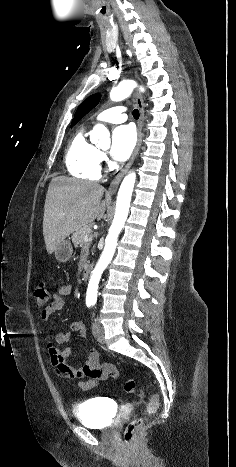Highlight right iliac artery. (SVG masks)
<instances>
[{"instance_id": "obj_1", "label": "right iliac artery", "mask_w": 236, "mask_h": 467, "mask_svg": "<svg viewBox=\"0 0 236 467\" xmlns=\"http://www.w3.org/2000/svg\"><path fill=\"white\" fill-rule=\"evenodd\" d=\"M92 304L91 303H87V307H90Z\"/></svg>"}]
</instances>
